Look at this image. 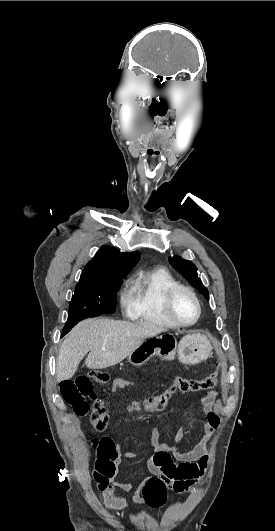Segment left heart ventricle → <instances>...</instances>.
Here are the masks:
<instances>
[{
	"label": "left heart ventricle",
	"instance_id": "b2bd125f",
	"mask_svg": "<svg viewBox=\"0 0 275 531\" xmlns=\"http://www.w3.org/2000/svg\"><path fill=\"white\" fill-rule=\"evenodd\" d=\"M172 309L176 318L182 322H191L197 315L195 301L183 291L178 292L173 298Z\"/></svg>",
	"mask_w": 275,
	"mask_h": 531
}]
</instances>
